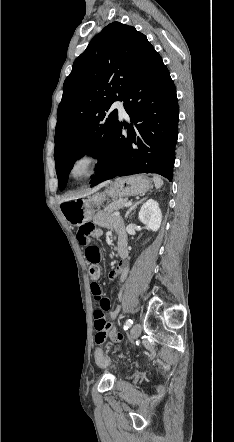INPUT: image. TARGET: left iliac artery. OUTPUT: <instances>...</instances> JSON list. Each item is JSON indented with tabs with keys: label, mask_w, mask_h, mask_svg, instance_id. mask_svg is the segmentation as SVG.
Returning <instances> with one entry per match:
<instances>
[{
	"label": "left iliac artery",
	"mask_w": 234,
	"mask_h": 442,
	"mask_svg": "<svg viewBox=\"0 0 234 442\" xmlns=\"http://www.w3.org/2000/svg\"><path fill=\"white\" fill-rule=\"evenodd\" d=\"M132 324H133V321H132L131 319H128V320L125 322L124 330L129 329V328L132 326Z\"/></svg>",
	"instance_id": "1"
}]
</instances>
